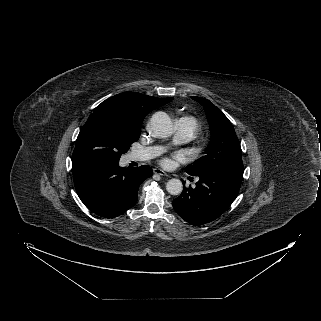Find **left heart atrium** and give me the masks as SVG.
<instances>
[{
    "label": "left heart atrium",
    "mask_w": 321,
    "mask_h": 321,
    "mask_svg": "<svg viewBox=\"0 0 321 321\" xmlns=\"http://www.w3.org/2000/svg\"><path fill=\"white\" fill-rule=\"evenodd\" d=\"M163 163H164L165 165H169V164H170V160H169V159H164V160H163Z\"/></svg>",
    "instance_id": "left-heart-atrium-1"
}]
</instances>
